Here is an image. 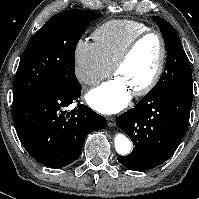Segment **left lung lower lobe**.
Listing matches in <instances>:
<instances>
[{
  "instance_id": "1",
  "label": "left lung lower lobe",
  "mask_w": 199,
  "mask_h": 199,
  "mask_svg": "<svg viewBox=\"0 0 199 199\" xmlns=\"http://www.w3.org/2000/svg\"><path fill=\"white\" fill-rule=\"evenodd\" d=\"M193 88H175L160 95H146L133 109L116 119V125L134 144L118 161L134 171L152 169L165 162L182 141L190 117Z\"/></svg>"
}]
</instances>
